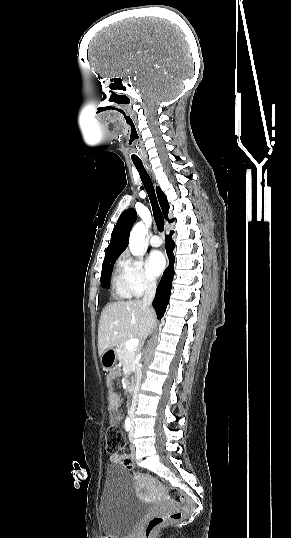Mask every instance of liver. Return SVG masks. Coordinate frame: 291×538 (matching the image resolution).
<instances>
[{"label": "liver", "instance_id": "obj_1", "mask_svg": "<svg viewBox=\"0 0 291 538\" xmlns=\"http://www.w3.org/2000/svg\"><path fill=\"white\" fill-rule=\"evenodd\" d=\"M155 322V311L144 306L141 300L107 304L101 313L98 326L99 355L118 346L130 336L144 340Z\"/></svg>", "mask_w": 291, "mask_h": 538}]
</instances>
